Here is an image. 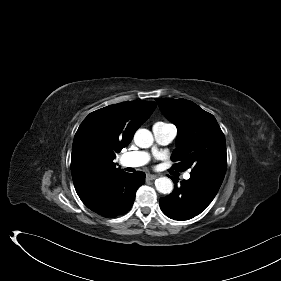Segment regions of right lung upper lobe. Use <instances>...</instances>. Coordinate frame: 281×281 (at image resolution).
Listing matches in <instances>:
<instances>
[{"instance_id": "right-lung-upper-lobe-1", "label": "right lung upper lobe", "mask_w": 281, "mask_h": 281, "mask_svg": "<svg viewBox=\"0 0 281 281\" xmlns=\"http://www.w3.org/2000/svg\"><path fill=\"white\" fill-rule=\"evenodd\" d=\"M155 108L153 101L123 102L96 110L84 119L75 134L71 155L78 195L120 170L113 163L115 153L131 142Z\"/></svg>"}]
</instances>
